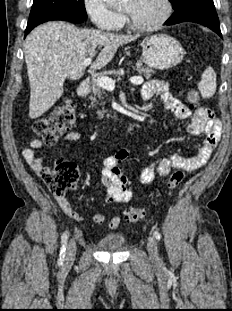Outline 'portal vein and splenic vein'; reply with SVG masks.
<instances>
[{
	"label": "portal vein and splenic vein",
	"mask_w": 232,
	"mask_h": 311,
	"mask_svg": "<svg viewBox=\"0 0 232 311\" xmlns=\"http://www.w3.org/2000/svg\"><path fill=\"white\" fill-rule=\"evenodd\" d=\"M91 62H92L91 58H86L83 61V65L88 66L89 64H91ZM143 81H144L143 78L140 76H134V77L130 78V82L135 84V85H140L143 83ZM97 83L102 88L107 89V90H113L115 88V81L109 77H106V76L99 77L97 79Z\"/></svg>",
	"instance_id": "obj_1"
}]
</instances>
